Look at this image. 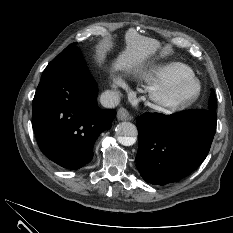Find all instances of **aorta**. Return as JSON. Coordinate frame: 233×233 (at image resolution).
I'll return each mask as SVG.
<instances>
[{
  "instance_id": "obj_1",
  "label": "aorta",
  "mask_w": 233,
  "mask_h": 233,
  "mask_svg": "<svg viewBox=\"0 0 233 233\" xmlns=\"http://www.w3.org/2000/svg\"><path fill=\"white\" fill-rule=\"evenodd\" d=\"M118 141L124 146H131L136 141L137 128L130 122L119 123L116 127Z\"/></svg>"
}]
</instances>
